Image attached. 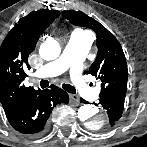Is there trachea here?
<instances>
[{"instance_id":"obj_1","label":"trachea","mask_w":147,"mask_h":147,"mask_svg":"<svg viewBox=\"0 0 147 147\" xmlns=\"http://www.w3.org/2000/svg\"><path fill=\"white\" fill-rule=\"evenodd\" d=\"M49 86V82L47 80H41L40 82V87L41 88H46ZM63 89L66 90L69 93L75 94L76 93V89L75 87L69 85V84H63L62 85Z\"/></svg>"}]
</instances>
